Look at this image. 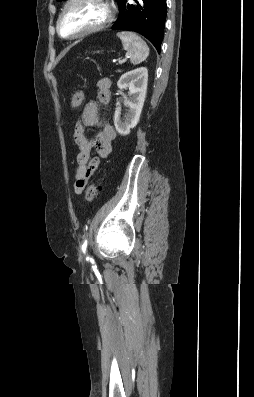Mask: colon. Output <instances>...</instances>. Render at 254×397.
<instances>
[{
	"label": "colon",
	"instance_id": "1",
	"mask_svg": "<svg viewBox=\"0 0 254 397\" xmlns=\"http://www.w3.org/2000/svg\"><path fill=\"white\" fill-rule=\"evenodd\" d=\"M83 101H84L83 90H81V89L76 90L75 93L73 94L71 102H70L71 108L76 109V108L80 107L81 104L83 103ZM100 190H101V188L98 183H92L87 188L86 199L89 202L93 201L94 199H96L98 197Z\"/></svg>",
	"mask_w": 254,
	"mask_h": 397
}]
</instances>
